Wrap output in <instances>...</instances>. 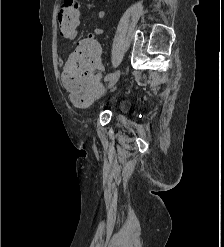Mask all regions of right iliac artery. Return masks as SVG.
Returning <instances> with one entry per match:
<instances>
[{"label": "right iliac artery", "instance_id": "82829eb1", "mask_svg": "<svg viewBox=\"0 0 224 247\" xmlns=\"http://www.w3.org/2000/svg\"><path fill=\"white\" fill-rule=\"evenodd\" d=\"M113 73H109L108 75H106L105 77V81H109L110 78L112 77Z\"/></svg>", "mask_w": 224, "mask_h": 247}]
</instances>
